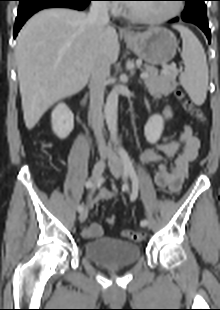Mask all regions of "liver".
<instances>
[{"instance_id":"1","label":"liver","mask_w":220,"mask_h":310,"mask_svg":"<svg viewBox=\"0 0 220 310\" xmlns=\"http://www.w3.org/2000/svg\"><path fill=\"white\" fill-rule=\"evenodd\" d=\"M99 54L109 64L117 61L116 30L107 25L99 33L83 12L46 9L24 25L15 59L27 129L34 128L55 102L87 85Z\"/></svg>"}]
</instances>
